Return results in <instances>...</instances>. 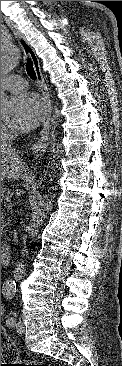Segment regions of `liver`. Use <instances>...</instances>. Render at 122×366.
Wrapping results in <instances>:
<instances>
[{"mask_svg": "<svg viewBox=\"0 0 122 366\" xmlns=\"http://www.w3.org/2000/svg\"><path fill=\"white\" fill-rule=\"evenodd\" d=\"M27 176V169L18 154L3 143L1 144V181H17Z\"/></svg>", "mask_w": 122, "mask_h": 366, "instance_id": "obj_1", "label": "liver"}]
</instances>
